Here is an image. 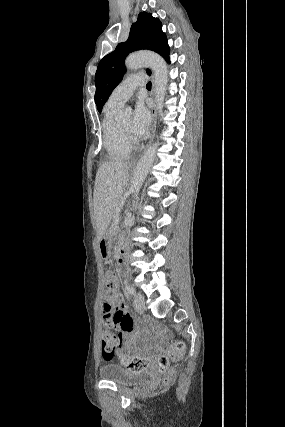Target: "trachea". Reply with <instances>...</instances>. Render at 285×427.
Returning a JSON list of instances; mask_svg holds the SVG:
<instances>
[{"label": "trachea", "instance_id": "obj_1", "mask_svg": "<svg viewBox=\"0 0 285 427\" xmlns=\"http://www.w3.org/2000/svg\"><path fill=\"white\" fill-rule=\"evenodd\" d=\"M146 88L151 89V82H148Z\"/></svg>", "mask_w": 285, "mask_h": 427}]
</instances>
